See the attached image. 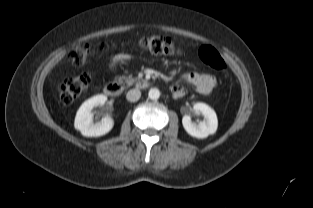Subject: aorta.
Wrapping results in <instances>:
<instances>
[{"label": "aorta", "instance_id": "1", "mask_svg": "<svg viewBox=\"0 0 313 208\" xmlns=\"http://www.w3.org/2000/svg\"><path fill=\"white\" fill-rule=\"evenodd\" d=\"M148 97L151 100H157L160 97V91L157 88H151L148 92Z\"/></svg>", "mask_w": 313, "mask_h": 208}]
</instances>
